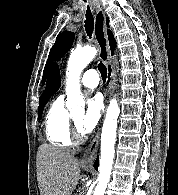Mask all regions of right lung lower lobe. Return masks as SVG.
<instances>
[{
    "label": "right lung lower lobe",
    "instance_id": "1",
    "mask_svg": "<svg viewBox=\"0 0 178 195\" xmlns=\"http://www.w3.org/2000/svg\"><path fill=\"white\" fill-rule=\"evenodd\" d=\"M98 163H99V159L97 158L95 163H94V168L97 170L98 169Z\"/></svg>",
    "mask_w": 178,
    "mask_h": 195
}]
</instances>
